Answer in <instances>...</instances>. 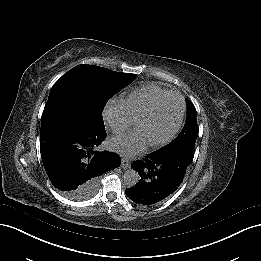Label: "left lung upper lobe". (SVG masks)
<instances>
[{
	"label": "left lung upper lobe",
	"instance_id": "1",
	"mask_svg": "<svg viewBox=\"0 0 261 261\" xmlns=\"http://www.w3.org/2000/svg\"><path fill=\"white\" fill-rule=\"evenodd\" d=\"M199 129L196 122V109L190 100H187V120L183 131L168 146L161 150L175 151L184 150L194 155V147Z\"/></svg>",
	"mask_w": 261,
	"mask_h": 261
}]
</instances>
